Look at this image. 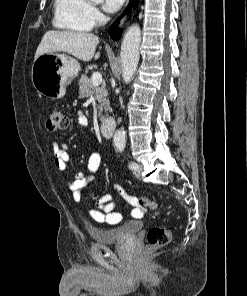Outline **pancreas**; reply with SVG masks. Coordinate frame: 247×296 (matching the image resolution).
<instances>
[{"instance_id":"pancreas-1","label":"pancreas","mask_w":247,"mask_h":296,"mask_svg":"<svg viewBox=\"0 0 247 296\" xmlns=\"http://www.w3.org/2000/svg\"><path fill=\"white\" fill-rule=\"evenodd\" d=\"M79 93L81 97H89L94 94L95 99L98 101L99 105L97 107L98 116L103 119V111H108L110 109L109 100L107 99L108 92L106 90L105 84L101 86H92L90 78L86 75H82L79 80Z\"/></svg>"}]
</instances>
